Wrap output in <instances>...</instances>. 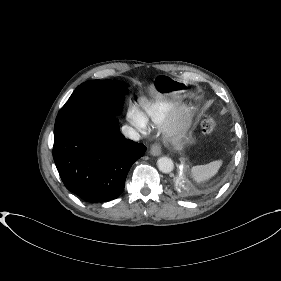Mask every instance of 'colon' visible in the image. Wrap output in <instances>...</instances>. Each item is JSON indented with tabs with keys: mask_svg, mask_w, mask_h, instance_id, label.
Returning a JSON list of instances; mask_svg holds the SVG:
<instances>
[{
	"mask_svg": "<svg viewBox=\"0 0 281 281\" xmlns=\"http://www.w3.org/2000/svg\"><path fill=\"white\" fill-rule=\"evenodd\" d=\"M203 130L205 133L209 134L213 131L214 127H215V122L211 117H205L203 120Z\"/></svg>",
	"mask_w": 281,
	"mask_h": 281,
	"instance_id": "1",
	"label": "colon"
}]
</instances>
